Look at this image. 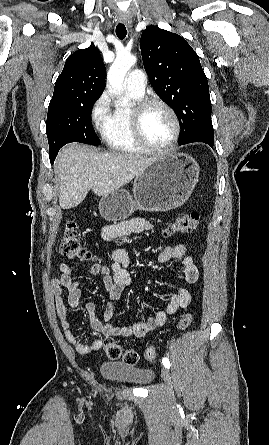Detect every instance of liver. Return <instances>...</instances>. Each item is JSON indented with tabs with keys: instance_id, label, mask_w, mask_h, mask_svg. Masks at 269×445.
Instances as JSON below:
<instances>
[{
	"instance_id": "6515ba94",
	"label": "liver",
	"mask_w": 269,
	"mask_h": 445,
	"mask_svg": "<svg viewBox=\"0 0 269 445\" xmlns=\"http://www.w3.org/2000/svg\"><path fill=\"white\" fill-rule=\"evenodd\" d=\"M155 159L129 153H98L81 144L67 145L59 152L55 166L61 184L60 207L78 206L90 189L102 197L120 189Z\"/></svg>"
}]
</instances>
